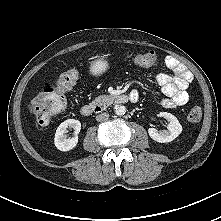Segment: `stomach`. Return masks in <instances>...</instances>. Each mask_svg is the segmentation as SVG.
Wrapping results in <instances>:
<instances>
[{"mask_svg":"<svg viewBox=\"0 0 221 221\" xmlns=\"http://www.w3.org/2000/svg\"><path fill=\"white\" fill-rule=\"evenodd\" d=\"M109 68L108 61L103 57L94 60L90 65V72L94 76H100Z\"/></svg>","mask_w":221,"mask_h":221,"instance_id":"0dacf381","label":"stomach"}]
</instances>
